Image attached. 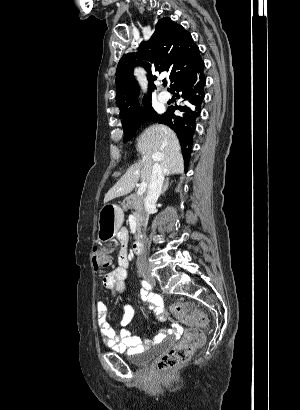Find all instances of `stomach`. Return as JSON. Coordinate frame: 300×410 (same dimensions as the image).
I'll use <instances>...</instances> for the list:
<instances>
[{
    "mask_svg": "<svg viewBox=\"0 0 300 410\" xmlns=\"http://www.w3.org/2000/svg\"><path fill=\"white\" fill-rule=\"evenodd\" d=\"M124 220V213L116 204H105L99 213L98 240L107 241L119 231Z\"/></svg>",
    "mask_w": 300,
    "mask_h": 410,
    "instance_id": "stomach-1",
    "label": "stomach"
}]
</instances>
